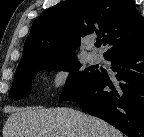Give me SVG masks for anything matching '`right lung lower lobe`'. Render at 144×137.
Listing matches in <instances>:
<instances>
[{"label":"right lung lower lobe","mask_w":144,"mask_h":137,"mask_svg":"<svg viewBox=\"0 0 144 137\" xmlns=\"http://www.w3.org/2000/svg\"><path fill=\"white\" fill-rule=\"evenodd\" d=\"M105 59L117 80L103 72L74 101L90 115L99 117L129 137H144V40L111 52Z\"/></svg>","instance_id":"1"}]
</instances>
